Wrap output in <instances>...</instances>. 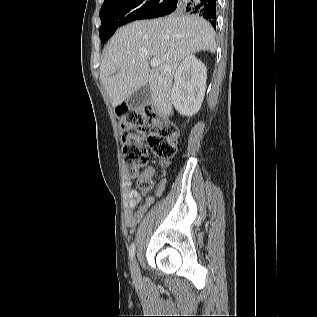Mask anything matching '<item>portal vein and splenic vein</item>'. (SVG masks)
I'll return each mask as SVG.
<instances>
[{
  "instance_id": "portal-vein-and-splenic-vein-1",
  "label": "portal vein and splenic vein",
  "mask_w": 317,
  "mask_h": 317,
  "mask_svg": "<svg viewBox=\"0 0 317 317\" xmlns=\"http://www.w3.org/2000/svg\"><path fill=\"white\" fill-rule=\"evenodd\" d=\"M159 64H160V60L157 58L152 59L150 62L151 67H157Z\"/></svg>"
}]
</instances>
